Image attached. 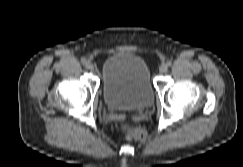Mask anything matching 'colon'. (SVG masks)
Masks as SVG:
<instances>
[{"mask_svg": "<svg viewBox=\"0 0 243 167\" xmlns=\"http://www.w3.org/2000/svg\"><path fill=\"white\" fill-rule=\"evenodd\" d=\"M119 127L130 139H142L146 135L144 129L127 122L120 123Z\"/></svg>", "mask_w": 243, "mask_h": 167, "instance_id": "5ec220e1", "label": "colon"}]
</instances>
